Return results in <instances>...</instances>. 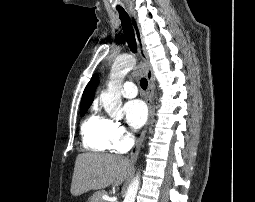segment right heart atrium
Instances as JSON below:
<instances>
[{
    "mask_svg": "<svg viewBox=\"0 0 255 202\" xmlns=\"http://www.w3.org/2000/svg\"><path fill=\"white\" fill-rule=\"evenodd\" d=\"M130 140V135L119 121L112 120L110 127V141L113 149H124Z\"/></svg>",
    "mask_w": 255,
    "mask_h": 202,
    "instance_id": "obj_1",
    "label": "right heart atrium"
}]
</instances>
